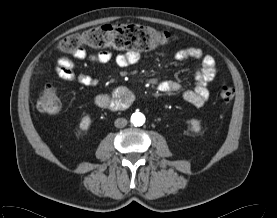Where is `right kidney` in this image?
Segmentation results:
<instances>
[{
  "label": "right kidney",
  "mask_w": 277,
  "mask_h": 218,
  "mask_svg": "<svg viewBox=\"0 0 277 218\" xmlns=\"http://www.w3.org/2000/svg\"><path fill=\"white\" fill-rule=\"evenodd\" d=\"M90 125H91V119L88 115H86L82 118L79 128L81 131H87Z\"/></svg>",
  "instance_id": "obj_1"
}]
</instances>
